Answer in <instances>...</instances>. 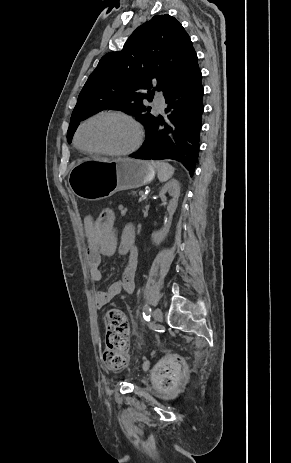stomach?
<instances>
[{
    "mask_svg": "<svg viewBox=\"0 0 291 463\" xmlns=\"http://www.w3.org/2000/svg\"><path fill=\"white\" fill-rule=\"evenodd\" d=\"M155 177L154 166L129 158H87L73 163L68 184L81 199L97 201L121 190L141 187Z\"/></svg>",
    "mask_w": 291,
    "mask_h": 463,
    "instance_id": "obj_1",
    "label": "stomach"
}]
</instances>
